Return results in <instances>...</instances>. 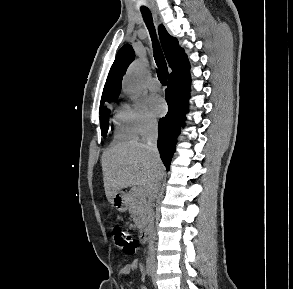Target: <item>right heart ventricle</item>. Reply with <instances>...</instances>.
Here are the masks:
<instances>
[{
    "label": "right heart ventricle",
    "instance_id": "e07e8e85",
    "mask_svg": "<svg viewBox=\"0 0 293 289\" xmlns=\"http://www.w3.org/2000/svg\"><path fill=\"white\" fill-rule=\"evenodd\" d=\"M136 136L127 107H118L114 112V139L130 140L135 139Z\"/></svg>",
    "mask_w": 293,
    "mask_h": 289
}]
</instances>
